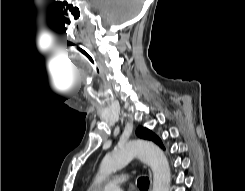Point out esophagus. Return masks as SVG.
I'll return each mask as SVG.
<instances>
[{
    "mask_svg": "<svg viewBox=\"0 0 245 191\" xmlns=\"http://www.w3.org/2000/svg\"><path fill=\"white\" fill-rule=\"evenodd\" d=\"M149 178H150V191H151V186H152V175H151V172H149Z\"/></svg>",
    "mask_w": 245,
    "mask_h": 191,
    "instance_id": "obj_1",
    "label": "esophagus"
}]
</instances>
